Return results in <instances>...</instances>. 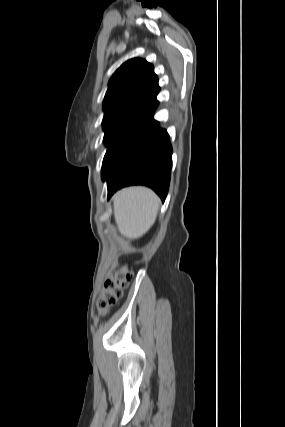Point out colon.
<instances>
[{"label":"colon","mask_w":285,"mask_h":427,"mask_svg":"<svg viewBox=\"0 0 285 427\" xmlns=\"http://www.w3.org/2000/svg\"><path fill=\"white\" fill-rule=\"evenodd\" d=\"M130 278L131 273L125 266L118 268L110 275L97 301L100 314L104 315L108 308L122 297Z\"/></svg>","instance_id":"obj_1"}]
</instances>
